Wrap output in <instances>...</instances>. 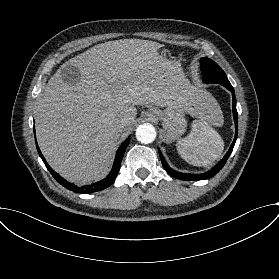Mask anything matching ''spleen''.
I'll list each match as a JSON object with an SVG mask.
<instances>
[{"mask_svg":"<svg viewBox=\"0 0 279 279\" xmlns=\"http://www.w3.org/2000/svg\"><path fill=\"white\" fill-rule=\"evenodd\" d=\"M203 110L201 117L191 123L189 134L176 140L180 155L195 166H205L220 158L224 143L210 126L221 127L223 115L218 103L206 92H201ZM187 157L188 159H186Z\"/></svg>","mask_w":279,"mask_h":279,"instance_id":"1","label":"spleen"}]
</instances>
